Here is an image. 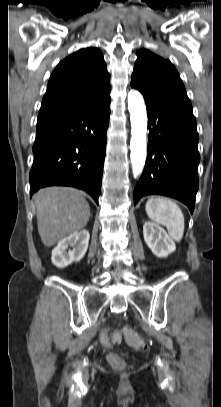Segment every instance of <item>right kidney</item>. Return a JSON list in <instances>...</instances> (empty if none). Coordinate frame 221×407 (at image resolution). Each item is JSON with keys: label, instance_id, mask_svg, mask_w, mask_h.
<instances>
[{"label": "right kidney", "instance_id": "ca27d5eb", "mask_svg": "<svg viewBox=\"0 0 221 407\" xmlns=\"http://www.w3.org/2000/svg\"><path fill=\"white\" fill-rule=\"evenodd\" d=\"M89 238V232L84 229L62 239L52 251V263L64 268L72 262H79L87 251ZM68 246H72L73 249L67 251Z\"/></svg>", "mask_w": 221, "mask_h": 407}]
</instances>
